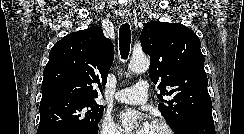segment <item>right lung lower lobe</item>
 Returning a JSON list of instances; mask_svg holds the SVG:
<instances>
[{
    "label": "right lung lower lobe",
    "instance_id": "1",
    "mask_svg": "<svg viewBox=\"0 0 244 134\" xmlns=\"http://www.w3.org/2000/svg\"><path fill=\"white\" fill-rule=\"evenodd\" d=\"M97 132H84V131H79V130H75V129H59V130H55L49 134H97Z\"/></svg>",
    "mask_w": 244,
    "mask_h": 134
}]
</instances>
